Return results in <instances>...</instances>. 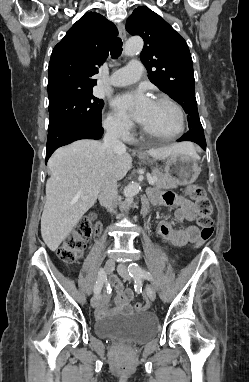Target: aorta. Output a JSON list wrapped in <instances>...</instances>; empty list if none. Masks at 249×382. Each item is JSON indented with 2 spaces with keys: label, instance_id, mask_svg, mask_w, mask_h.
<instances>
[{
  "label": "aorta",
  "instance_id": "1",
  "mask_svg": "<svg viewBox=\"0 0 249 382\" xmlns=\"http://www.w3.org/2000/svg\"><path fill=\"white\" fill-rule=\"evenodd\" d=\"M143 48V40L140 37H131L127 40L124 46V54L126 56H133L141 52ZM140 190L138 183H131L124 189V195L126 197L135 196Z\"/></svg>",
  "mask_w": 249,
  "mask_h": 382
}]
</instances>
